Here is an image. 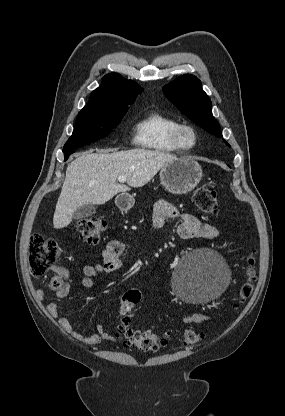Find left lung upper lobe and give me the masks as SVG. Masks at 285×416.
<instances>
[{"label":"left lung upper lobe","instance_id":"left-lung-upper-lobe-1","mask_svg":"<svg viewBox=\"0 0 285 416\" xmlns=\"http://www.w3.org/2000/svg\"><path fill=\"white\" fill-rule=\"evenodd\" d=\"M166 97L190 120L209 133L222 137L219 123L211 112V100L202 90L200 80L183 75L163 88ZM225 144L230 146L225 140Z\"/></svg>","mask_w":285,"mask_h":416}]
</instances>
